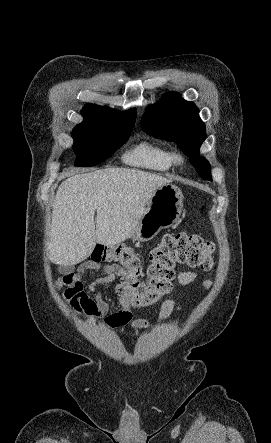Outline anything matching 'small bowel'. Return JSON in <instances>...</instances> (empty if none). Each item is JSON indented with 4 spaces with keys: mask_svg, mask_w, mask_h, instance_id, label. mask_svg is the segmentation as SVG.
<instances>
[{
    "mask_svg": "<svg viewBox=\"0 0 271 443\" xmlns=\"http://www.w3.org/2000/svg\"><path fill=\"white\" fill-rule=\"evenodd\" d=\"M93 269H100L102 276L95 277L88 285V291L84 290L82 283L83 276L87 275ZM123 270L116 264H98L88 262L81 266L80 270L58 279L55 283L57 289L65 287L63 299L68 303L70 308L80 317L87 318H105L106 323L111 328L121 327L130 324L134 329H144L150 326L146 320H132L130 312V304L128 300L119 295V301L122 310L106 316L109 310V304L103 298L99 287L112 283L117 276H121ZM197 275L191 271L182 270L178 274V281L182 285L191 284L196 280ZM211 280H206L204 285L209 288ZM180 310L176 301L173 299L166 300L160 309L158 322L162 323L169 318L173 311Z\"/></svg>",
    "mask_w": 271,
    "mask_h": 443,
    "instance_id": "obj_1",
    "label": "small bowel"
}]
</instances>
